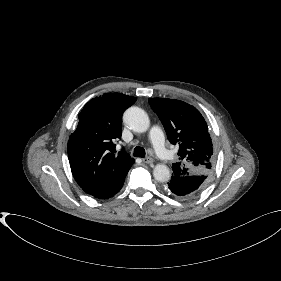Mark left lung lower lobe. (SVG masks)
Returning <instances> with one entry per match:
<instances>
[{"instance_id": "left-lung-lower-lobe-1", "label": "left lung lower lobe", "mask_w": 281, "mask_h": 281, "mask_svg": "<svg viewBox=\"0 0 281 281\" xmlns=\"http://www.w3.org/2000/svg\"><path fill=\"white\" fill-rule=\"evenodd\" d=\"M207 181V175L172 176L168 183V191L180 198H191L205 187Z\"/></svg>"}]
</instances>
